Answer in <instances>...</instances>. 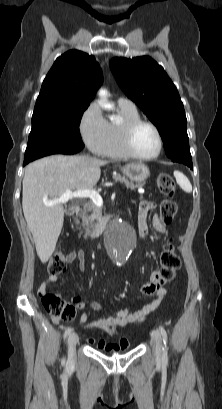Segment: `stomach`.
Instances as JSON below:
<instances>
[{"instance_id": "1", "label": "stomach", "mask_w": 222, "mask_h": 409, "mask_svg": "<svg viewBox=\"0 0 222 409\" xmlns=\"http://www.w3.org/2000/svg\"><path fill=\"white\" fill-rule=\"evenodd\" d=\"M122 173L132 182H143L149 175L150 171L147 165L143 163H130L121 168Z\"/></svg>"}]
</instances>
